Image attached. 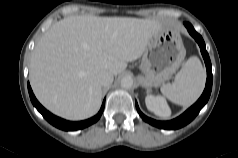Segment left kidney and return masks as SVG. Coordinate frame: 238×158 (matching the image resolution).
I'll use <instances>...</instances> for the list:
<instances>
[{"mask_svg":"<svg viewBox=\"0 0 238 158\" xmlns=\"http://www.w3.org/2000/svg\"><path fill=\"white\" fill-rule=\"evenodd\" d=\"M145 103L147 109L159 117L167 118L171 115V110L166 100L161 96L147 95Z\"/></svg>","mask_w":238,"mask_h":158,"instance_id":"obj_1","label":"left kidney"}]
</instances>
